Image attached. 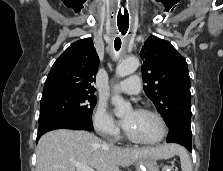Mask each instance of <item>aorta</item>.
Instances as JSON below:
<instances>
[{
	"label": "aorta",
	"instance_id": "762f6f07",
	"mask_svg": "<svg viewBox=\"0 0 223 171\" xmlns=\"http://www.w3.org/2000/svg\"><path fill=\"white\" fill-rule=\"evenodd\" d=\"M139 67V60L135 57L126 58L117 65L116 75L125 77L134 73ZM112 103L116 107V116L121 117L132 109L130 102L125 101L119 94L112 97Z\"/></svg>",
	"mask_w": 223,
	"mask_h": 171
}]
</instances>
